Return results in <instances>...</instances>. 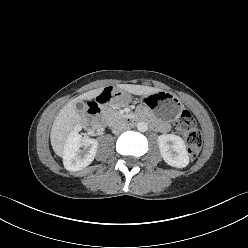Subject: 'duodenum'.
<instances>
[{
    "instance_id": "410a0bca",
    "label": "duodenum",
    "mask_w": 248,
    "mask_h": 248,
    "mask_svg": "<svg viewBox=\"0 0 248 248\" xmlns=\"http://www.w3.org/2000/svg\"><path fill=\"white\" fill-rule=\"evenodd\" d=\"M116 94V89L112 86H106L102 88L99 94L95 95L94 99H90L87 102L88 116L93 128L101 129L104 125V117L102 115V106L108 103ZM136 119L133 117L124 118V123L126 125H133ZM151 125L154 129L158 128V123L156 121H151Z\"/></svg>"
}]
</instances>
